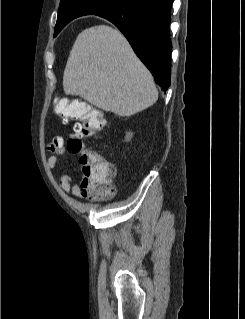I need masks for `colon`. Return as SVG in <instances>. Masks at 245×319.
Returning <instances> with one entry per match:
<instances>
[{
    "label": "colon",
    "instance_id": "5ec220e1",
    "mask_svg": "<svg viewBox=\"0 0 245 319\" xmlns=\"http://www.w3.org/2000/svg\"><path fill=\"white\" fill-rule=\"evenodd\" d=\"M55 111L63 120L75 121L67 149L79 157L81 194L94 201L110 198L114 193L115 169L99 154L85 150L83 144V138L104 128L103 114L83 102L65 98L56 102Z\"/></svg>",
    "mask_w": 245,
    "mask_h": 319
}]
</instances>
